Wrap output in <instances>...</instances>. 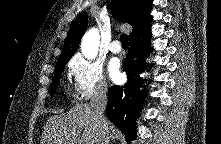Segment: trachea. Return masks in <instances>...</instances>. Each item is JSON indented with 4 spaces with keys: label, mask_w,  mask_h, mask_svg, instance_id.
Returning a JSON list of instances; mask_svg holds the SVG:
<instances>
[{
    "label": "trachea",
    "mask_w": 221,
    "mask_h": 144,
    "mask_svg": "<svg viewBox=\"0 0 221 144\" xmlns=\"http://www.w3.org/2000/svg\"><path fill=\"white\" fill-rule=\"evenodd\" d=\"M120 41L123 47H128V36L127 34H122L120 36Z\"/></svg>",
    "instance_id": "trachea-1"
}]
</instances>
